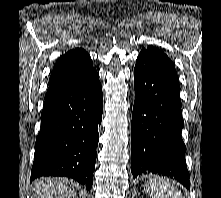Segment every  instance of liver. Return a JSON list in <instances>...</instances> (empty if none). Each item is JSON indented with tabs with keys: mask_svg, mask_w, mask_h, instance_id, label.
I'll list each match as a JSON object with an SVG mask.
<instances>
[{
	"mask_svg": "<svg viewBox=\"0 0 221 198\" xmlns=\"http://www.w3.org/2000/svg\"><path fill=\"white\" fill-rule=\"evenodd\" d=\"M32 192V198H77L75 183L65 177L38 179Z\"/></svg>",
	"mask_w": 221,
	"mask_h": 198,
	"instance_id": "6515ba94",
	"label": "liver"
}]
</instances>
